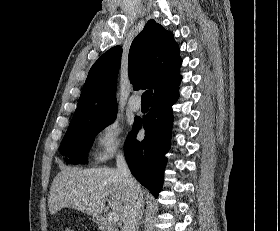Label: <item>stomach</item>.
Masks as SVG:
<instances>
[{
    "label": "stomach",
    "instance_id": "obj_1",
    "mask_svg": "<svg viewBox=\"0 0 280 231\" xmlns=\"http://www.w3.org/2000/svg\"><path fill=\"white\" fill-rule=\"evenodd\" d=\"M94 221H97V217H94Z\"/></svg>",
    "mask_w": 280,
    "mask_h": 231
}]
</instances>
